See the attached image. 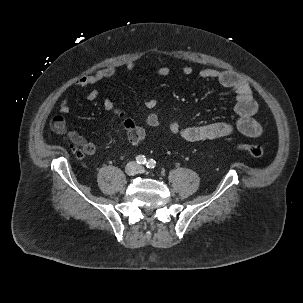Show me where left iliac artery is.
<instances>
[{
	"mask_svg": "<svg viewBox=\"0 0 303 303\" xmlns=\"http://www.w3.org/2000/svg\"><path fill=\"white\" fill-rule=\"evenodd\" d=\"M147 168H149V169H153V168H155V166H156V162H155V160H153V159H150V160H148V162H147Z\"/></svg>",
	"mask_w": 303,
	"mask_h": 303,
	"instance_id": "obj_1",
	"label": "left iliac artery"
}]
</instances>
